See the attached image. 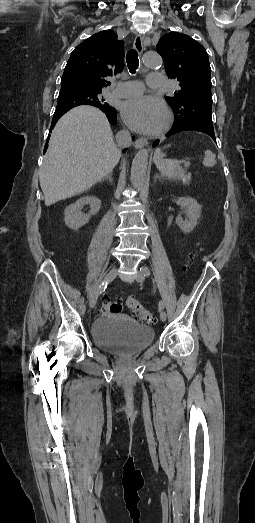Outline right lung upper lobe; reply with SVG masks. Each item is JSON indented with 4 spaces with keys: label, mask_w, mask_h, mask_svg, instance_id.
I'll list each match as a JSON object with an SVG mask.
<instances>
[{
    "label": "right lung upper lobe",
    "mask_w": 255,
    "mask_h": 523,
    "mask_svg": "<svg viewBox=\"0 0 255 523\" xmlns=\"http://www.w3.org/2000/svg\"><path fill=\"white\" fill-rule=\"evenodd\" d=\"M123 45L124 42L118 40L112 30L101 31L83 41L71 53L61 79V90L101 92L104 87L110 85L105 78L121 72L124 67ZM78 105H93L106 114L111 124L117 121L116 109L100 100L58 102L51 130L63 114Z\"/></svg>",
    "instance_id": "cb5924a9"
}]
</instances>
